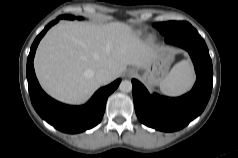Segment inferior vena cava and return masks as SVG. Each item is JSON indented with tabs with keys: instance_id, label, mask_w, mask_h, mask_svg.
<instances>
[{
	"instance_id": "1",
	"label": "inferior vena cava",
	"mask_w": 238,
	"mask_h": 158,
	"mask_svg": "<svg viewBox=\"0 0 238 158\" xmlns=\"http://www.w3.org/2000/svg\"><path fill=\"white\" fill-rule=\"evenodd\" d=\"M95 78L100 85L107 84L111 80L110 71L108 69H99L95 73Z\"/></svg>"
}]
</instances>
